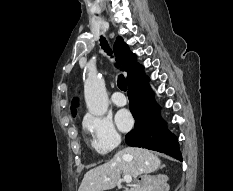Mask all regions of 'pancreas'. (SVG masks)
Wrapping results in <instances>:
<instances>
[{
  "instance_id": "cf45deb5",
  "label": "pancreas",
  "mask_w": 233,
  "mask_h": 191,
  "mask_svg": "<svg viewBox=\"0 0 233 191\" xmlns=\"http://www.w3.org/2000/svg\"><path fill=\"white\" fill-rule=\"evenodd\" d=\"M128 191H138L136 188H131Z\"/></svg>"
}]
</instances>
